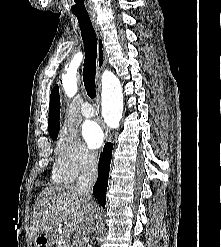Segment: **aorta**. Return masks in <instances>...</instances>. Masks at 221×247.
<instances>
[{
  "label": "aorta",
  "instance_id": "aorta-1",
  "mask_svg": "<svg viewBox=\"0 0 221 247\" xmlns=\"http://www.w3.org/2000/svg\"><path fill=\"white\" fill-rule=\"evenodd\" d=\"M62 83L66 95L73 97L78 89L76 76L66 74L62 77ZM123 107L121 83L111 71H106L102 76V111L105 121L110 127L119 126Z\"/></svg>",
  "mask_w": 221,
  "mask_h": 247
}]
</instances>
